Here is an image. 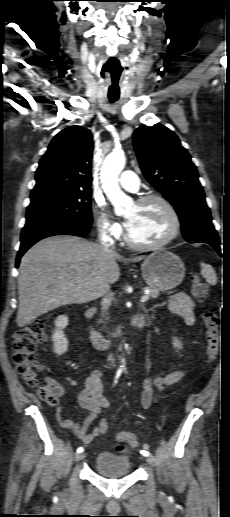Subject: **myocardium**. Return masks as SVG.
Returning a JSON list of instances; mask_svg holds the SVG:
<instances>
[{
	"instance_id": "f54148a6",
	"label": "myocardium",
	"mask_w": 230,
	"mask_h": 517,
	"mask_svg": "<svg viewBox=\"0 0 230 517\" xmlns=\"http://www.w3.org/2000/svg\"><path fill=\"white\" fill-rule=\"evenodd\" d=\"M152 201H157V202L161 203L163 205V207L166 209V211L168 212V214L170 216V220H171L170 230L164 238H162L161 240H159L157 242L140 243V242L135 241L131 237V235L129 234V231L127 229L125 232V235H124V239H125L126 243L132 248H135L138 250L159 249V248H162V247L168 245L170 242H172L180 233L181 220H180L179 214L176 211L175 207L172 205V203L164 196H162L160 194L146 195V196H143L140 199H138L136 202V205L142 206V205L150 203Z\"/></svg>"
}]
</instances>
